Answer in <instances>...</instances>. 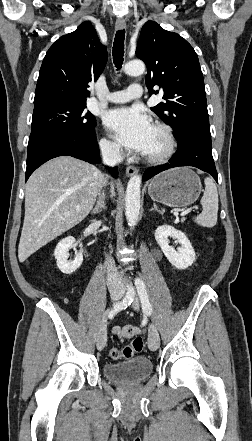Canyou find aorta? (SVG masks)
<instances>
[{
	"mask_svg": "<svg viewBox=\"0 0 252 441\" xmlns=\"http://www.w3.org/2000/svg\"><path fill=\"white\" fill-rule=\"evenodd\" d=\"M145 71V64L140 60H133L125 64L124 72L130 76H139ZM141 176L134 175L127 184L125 195V216L129 226H135L140 213Z\"/></svg>",
	"mask_w": 252,
	"mask_h": 441,
	"instance_id": "aorta-1",
	"label": "aorta"
}]
</instances>
